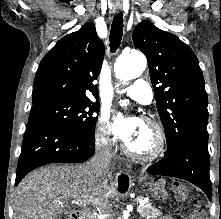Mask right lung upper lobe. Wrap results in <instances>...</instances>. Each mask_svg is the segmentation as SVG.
Wrapping results in <instances>:
<instances>
[{
  "label": "right lung upper lobe",
  "instance_id": "cb5924a9",
  "mask_svg": "<svg viewBox=\"0 0 221 219\" xmlns=\"http://www.w3.org/2000/svg\"><path fill=\"white\" fill-rule=\"evenodd\" d=\"M104 44L88 22L60 39L42 59L33 85L32 103L43 99H98Z\"/></svg>",
  "mask_w": 221,
  "mask_h": 219
}]
</instances>
